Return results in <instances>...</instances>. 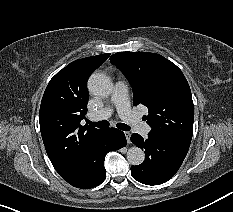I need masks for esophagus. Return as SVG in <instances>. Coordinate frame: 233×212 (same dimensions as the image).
<instances>
[{"mask_svg": "<svg viewBox=\"0 0 233 212\" xmlns=\"http://www.w3.org/2000/svg\"><path fill=\"white\" fill-rule=\"evenodd\" d=\"M125 137H126L127 142L130 143V137H131L130 132H125Z\"/></svg>", "mask_w": 233, "mask_h": 212, "instance_id": "obj_1", "label": "esophagus"}]
</instances>
